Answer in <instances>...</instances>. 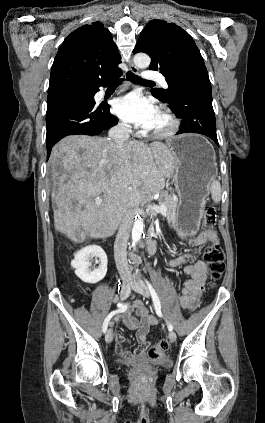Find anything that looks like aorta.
<instances>
[{
	"label": "aorta",
	"instance_id": "1",
	"mask_svg": "<svg viewBox=\"0 0 265 423\" xmlns=\"http://www.w3.org/2000/svg\"><path fill=\"white\" fill-rule=\"evenodd\" d=\"M134 63L138 68H147L150 65L151 59L147 54L138 53L134 56ZM144 230V221L142 219L135 220L132 228V245L138 243L141 239Z\"/></svg>",
	"mask_w": 265,
	"mask_h": 423
}]
</instances>
